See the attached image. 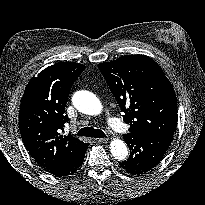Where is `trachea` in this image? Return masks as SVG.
Returning a JSON list of instances; mask_svg holds the SVG:
<instances>
[{
	"label": "trachea",
	"mask_w": 205,
	"mask_h": 205,
	"mask_svg": "<svg viewBox=\"0 0 205 205\" xmlns=\"http://www.w3.org/2000/svg\"><path fill=\"white\" fill-rule=\"evenodd\" d=\"M78 136L94 137V138H105V133L100 129H95L93 127H85L78 131Z\"/></svg>",
	"instance_id": "1"
}]
</instances>
